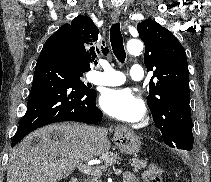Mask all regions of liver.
<instances>
[{
    "mask_svg": "<svg viewBox=\"0 0 211 182\" xmlns=\"http://www.w3.org/2000/svg\"><path fill=\"white\" fill-rule=\"evenodd\" d=\"M56 131L58 139H52ZM108 130L79 123L48 125L25 137L11 153L7 182H57L78 164L102 155L111 147ZM37 138V144H32Z\"/></svg>",
    "mask_w": 211,
    "mask_h": 182,
    "instance_id": "liver-1",
    "label": "liver"
}]
</instances>
